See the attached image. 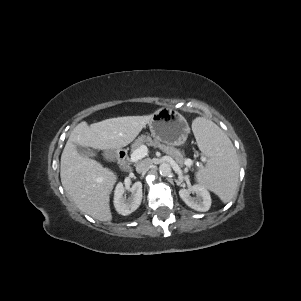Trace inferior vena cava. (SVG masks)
I'll return each mask as SVG.
<instances>
[{
    "label": "inferior vena cava",
    "mask_w": 301,
    "mask_h": 301,
    "mask_svg": "<svg viewBox=\"0 0 301 301\" xmlns=\"http://www.w3.org/2000/svg\"><path fill=\"white\" fill-rule=\"evenodd\" d=\"M151 160L150 159H145V160H143V161H141V162H139L138 164H137V166H136V171L138 172V173H142V172H145V171H147L149 168H150V166H151Z\"/></svg>",
    "instance_id": "602c4592"
}]
</instances>
